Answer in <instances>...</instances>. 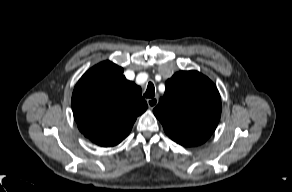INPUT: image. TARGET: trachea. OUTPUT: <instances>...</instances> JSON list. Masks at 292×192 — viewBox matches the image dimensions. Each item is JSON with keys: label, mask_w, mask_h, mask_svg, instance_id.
Segmentation results:
<instances>
[{"label": "trachea", "mask_w": 292, "mask_h": 192, "mask_svg": "<svg viewBox=\"0 0 292 192\" xmlns=\"http://www.w3.org/2000/svg\"><path fill=\"white\" fill-rule=\"evenodd\" d=\"M154 95H155V87L152 82H149L144 96L146 98H153Z\"/></svg>", "instance_id": "trachea-1"}]
</instances>
